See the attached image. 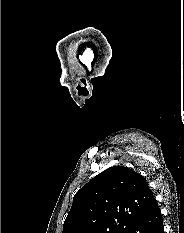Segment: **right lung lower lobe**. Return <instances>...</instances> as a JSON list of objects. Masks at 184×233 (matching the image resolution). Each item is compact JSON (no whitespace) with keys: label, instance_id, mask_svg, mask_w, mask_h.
Listing matches in <instances>:
<instances>
[{"label":"right lung lower lobe","instance_id":"98d812e1","mask_svg":"<svg viewBox=\"0 0 184 233\" xmlns=\"http://www.w3.org/2000/svg\"><path fill=\"white\" fill-rule=\"evenodd\" d=\"M126 233H164L162 215L158 204L138 220Z\"/></svg>","mask_w":184,"mask_h":233}]
</instances>
